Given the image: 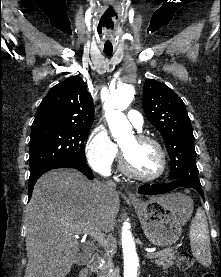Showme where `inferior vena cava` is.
<instances>
[{"label": "inferior vena cava", "instance_id": "602c4592", "mask_svg": "<svg viewBox=\"0 0 221 277\" xmlns=\"http://www.w3.org/2000/svg\"><path fill=\"white\" fill-rule=\"evenodd\" d=\"M105 185L107 187V189H110V190H114L116 184L112 181V180H107L105 182Z\"/></svg>", "mask_w": 221, "mask_h": 277}]
</instances>
